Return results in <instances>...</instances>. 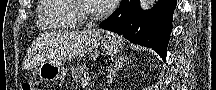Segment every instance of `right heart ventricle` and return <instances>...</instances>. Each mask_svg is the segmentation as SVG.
<instances>
[{"label":"right heart ventricle","mask_w":216,"mask_h":90,"mask_svg":"<svg viewBox=\"0 0 216 90\" xmlns=\"http://www.w3.org/2000/svg\"><path fill=\"white\" fill-rule=\"evenodd\" d=\"M41 6L37 7L35 16H38L37 26L39 29H59V28H83L82 24L69 17L66 2L72 0H39Z\"/></svg>","instance_id":"right-heart-ventricle-1"}]
</instances>
